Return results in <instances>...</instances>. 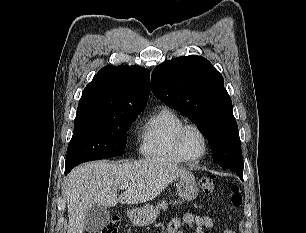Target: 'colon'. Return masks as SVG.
Segmentation results:
<instances>
[{"label": "colon", "instance_id": "obj_1", "mask_svg": "<svg viewBox=\"0 0 306 233\" xmlns=\"http://www.w3.org/2000/svg\"><path fill=\"white\" fill-rule=\"evenodd\" d=\"M200 185L202 190L207 195H212L215 191L216 186L215 177L212 175L204 177L201 180ZM231 202L234 206H239L242 202V197L238 185H235L232 188ZM119 221V217L112 216L108 220L107 224L98 233H118Z\"/></svg>", "mask_w": 306, "mask_h": 233}]
</instances>
